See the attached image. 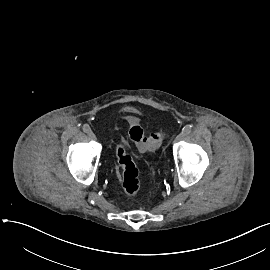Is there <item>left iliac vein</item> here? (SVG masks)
<instances>
[{"instance_id":"1","label":"left iliac vein","mask_w":270,"mask_h":270,"mask_svg":"<svg viewBox=\"0 0 270 270\" xmlns=\"http://www.w3.org/2000/svg\"><path fill=\"white\" fill-rule=\"evenodd\" d=\"M184 137H185L184 133L178 134V135L176 136V138H175V142H179V141L183 140Z\"/></svg>"}]
</instances>
